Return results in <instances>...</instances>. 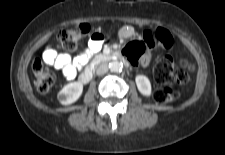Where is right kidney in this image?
Returning <instances> with one entry per match:
<instances>
[{
    "label": "right kidney",
    "mask_w": 225,
    "mask_h": 155,
    "mask_svg": "<svg viewBox=\"0 0 225 155\" xmlns=\"http://www.w3.org/2000/svg\"><path fill=\"white\" fill-rule=\"evenodd\" d=\"M83 91L81 82H72L63 87L57 94V99L62 105H69L79 99Z\"/></svg>",
    "instance_id": "obj_1"
}]
</instances>
